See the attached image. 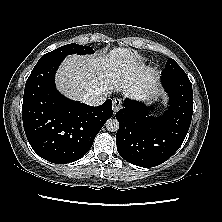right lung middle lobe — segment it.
<instances>
[{
  "label": "right lung middle lobe",
  "mask_w": 222,
  "mask_h": 222,
  "mask_svg": "<svg viewBox=\"0 0 222 222\" xmlns=\"http://www.w3.org/2000/svg\"><path fill=\"white\" fill-rule=\"evenodd\" d=\"M94 53V50L89 46L77 45L75 43L67 44L61 46L49 53L44 54L38 62L49 60V59H64L67 55L70 54H91Z\"/></svg>",
  "instance_id": "1"
}]
</instances>
